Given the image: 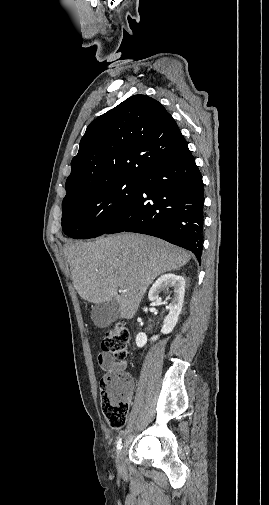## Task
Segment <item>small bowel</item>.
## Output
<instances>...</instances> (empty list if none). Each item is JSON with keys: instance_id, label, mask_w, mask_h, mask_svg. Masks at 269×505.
<instances>
[{"instance_id": "obj_1", "label": "small bowel", "mask_w": 269, "mask_h": 505, "mask_svg": "<svg viewBox=\"0 0 269 505\" xmlns=\"http://www.w3.org/2000/svg\"><path fill=\"white\" fill-rule=\"evenodd\" d=\"M98 362L107 375L123 373L126 368V363L124 361H118L105 353L99 354Z\"/></svg>"}]
</instances>
